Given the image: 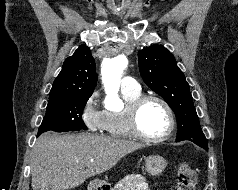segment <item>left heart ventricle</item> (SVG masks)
Masks as SVG:
<instances>
[{"instance_id": "left-heart-ventricle-1", "label": "left heart ventricle", "mask_w": 238, "mask_h": 190, "mask_svg": "<svg viewBox=\"0 0 238 190\" xmlns=\"http://www.w3.org/2000/svg\"><path fill=\"white\" fill-rule=\"evenodd\" d=\"M139 125L144 133L157 137L169 128V117L165 109L157 102H148L139 114Z\"/></svg>"}]
</instances>
